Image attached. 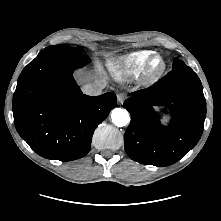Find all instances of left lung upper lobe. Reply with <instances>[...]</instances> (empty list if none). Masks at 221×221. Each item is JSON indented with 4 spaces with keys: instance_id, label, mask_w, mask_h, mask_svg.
Instances as JSON below:
<instances>
[{
    "instance_id": "left-lung-upper-lobe-1",
    "label": "left lung upper lobe",
    "mask_w": 221,
    "mask_h": 221,
    "mask_svg": "<svg viewBox=\"0 0 221 221\" xmlns=\"http://www.w3.org/2000/svg\"><path fill=\"white\" fill-rule=\"evenodd\" d=\"M181 66H185V63L182 60L175 58L173 61L172 69L177 68V67H181Z\"/></svg>"
}]
</instances>
